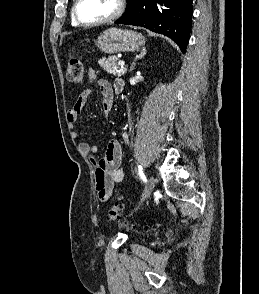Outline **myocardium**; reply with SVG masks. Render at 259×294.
Segmentation results:
<instances>
[{
    "mask_svg": "<svg viewBox=\"0 0 259 294\" xmlns=\"http://www.w3.org/2000/svg\"><path fill=\"white\" fill-rule=\"evenodd\" d=\"M80 1L81 0H75L74 2V5L72 7V12H71L72 18L77 25L82 27H87V28L101 26L118 19L124 13L126 8V0H116V3H117L116 9L112 14L95 22H85L81 20L78 14V6Z\"/></svg>",
    "mask_w": 259,
    "mask_h": 294,
    "instance_id": "myocardium-1",
    "label": "myocardium"
}]
</instances>
